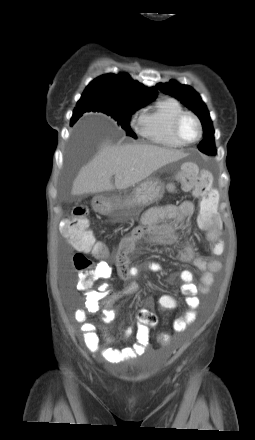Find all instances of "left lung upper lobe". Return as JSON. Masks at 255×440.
I'll return each instance as SVG.
<instances>
[{
  "label": "left lung upper lobe",
  "mask_w": 255,
  "mask_h": 440,
  "mask_svg": "<svg viewBox=\"0 0 255 440\" xmlns=\"http://www.w3.org/2000/svg\"><path fill=\"white\" fill-rule=\"evenodd\" d=\"M156 87L164 93L177 98L199 117L204 133L203 140L199 143L198 148L205 154H216L212 121L206 105L201 100L199 94L192 87L182 85L174 80H171L168 83H159Z\"/></svg>",
  "instance_id": "1"
}]
</instances>
